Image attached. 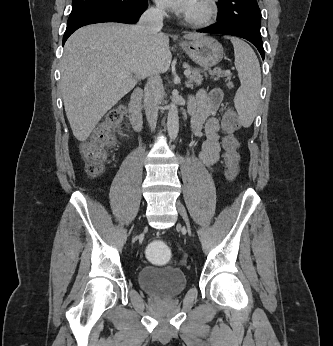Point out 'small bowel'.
Segmentation results:
<instances>
[{
  "instance_id": "obj_1",
  "label": "small bowel",
  "mask_w": 333,
  "mask_h": 346,
  "mask_svg": "<svg viewBox=\"0 0 333 346\" xmlns=\"http://www.w3.org/2000/svg\"><path fill=\"white\" fill-rule=\"evenodd\" d=\"M222 99L221 89L215 88L210 91L202 89L190 99L189 103L192 133L195 136H200L202 132L205 134L199 158L209 168L218 162L221 152L219 136L221 123L215 114Z\"/></svg>"
}]
</instances>
